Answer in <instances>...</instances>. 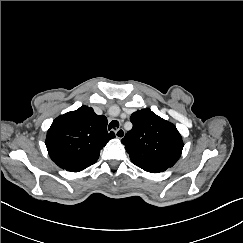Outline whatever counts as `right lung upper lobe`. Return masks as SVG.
I'll return each instance as SVG.
<instances>
[{"instance_id": "right-lung-upper-lobe-1", "label": "right lung upper lobe", "mask_w": 243, "mask_h": 243, "mask_svg": "<svg viewBox=\"0 0 243 243\" xmlns=\"http://www.w3.org/2000/svg\"><path fill=\"white\" fill-rule=\"evenodd\" d=\"M107 118L82 106L57 117L47 132L46 147L62 169L79 172L94 164L100 150L115 137L107 131Z\"/></svg>"}]
</instances>
